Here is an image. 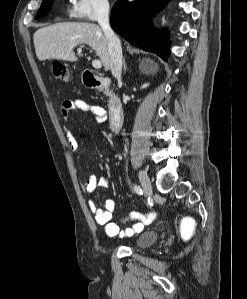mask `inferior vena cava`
Masks as SVG:
<instances>
[{"label":"inferior vena cava","instance_id":"602c4592","mask_svg":"<svg viewBox=\"0 0 247 299\" xmlns=\"http://www.w3.org/2000/svg\"><path fill=\"white\" fill-rule=\"evenodd\" d=\"M97 20L108 41L110 69L112 75L120 80L122 73V48L119 38L115 35L110 26L109 5H104L100 8Z\"/></svg>","mask_w":247,"mask_h":299}]
</instances>
